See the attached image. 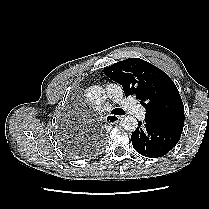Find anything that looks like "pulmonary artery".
Returning <instances> with one entry per match:
<instances>
[{"instance_id":"pulmonary-artery-1","label":"pulmonary artery","mask_w":209,"mask_h":209,"mask_svg":"<svg viewBox=\"0 0 209 209\" xmlns=\"http://www.w3.org/2000/svg\"><path fill=\"white\" fill-rule=\"evenodd\" d=\"M106 92L109 103L102 106L101 111L109 110L112 106V103H116L119 104L121 108L138 118H142L144 116V108L134 101L124 98L122 88L119 85L115 83L108 84L106 86Z\"/></svg>"}]
</instances>
